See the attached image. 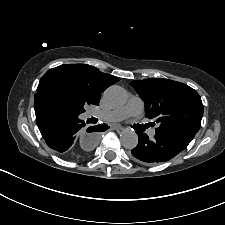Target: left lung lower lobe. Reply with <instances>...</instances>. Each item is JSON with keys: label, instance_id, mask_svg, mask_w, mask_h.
<instances>
[{"label": "left lung lower lobe", "instance_id": "obj_1", "mask_svg": "<svg viewBox=\"0 0 225 225\" xmlns=\"http://www.w3.org/2000/svg\"><path fill=\"white\" fill-rule=\"evenodd\" d=\"M138 145L131 150L132 157L144 164L155 165L172 159L183 151L197 132L190 130L156 133L153 139L141 132Z\"/></svg>", "mask_w": 225, "mask_h": 225}]
</instances>
